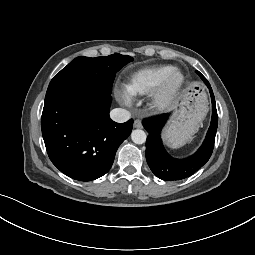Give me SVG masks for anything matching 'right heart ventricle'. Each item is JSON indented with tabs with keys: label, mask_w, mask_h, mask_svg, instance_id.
Here are the masks:
<instances>
[{
	"label": "right heart ventricle",
	"mask_w": 255,
	"mask_h": 255,
	"mask_svg": "<svg viewBox=\"0 0 255 255\" xmlns=\"http://www.w3.org/2000/svg\"><path fill=\"white\" fill-rule=\"evenodd\" d=\"M175 70L171 65L149 66L134 72L127 88L133 95H144L155 91Z\"/></svg>",
	"instance_id": "right-heart-ventricle-1"
}]
</instances>
